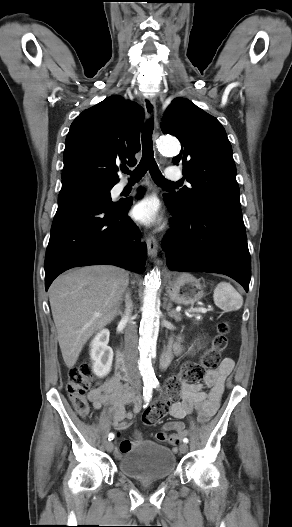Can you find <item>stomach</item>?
<instances>
[{"label": "stomach", "mask_w": 292, "mask_h": 527, "mask_svg": "<svg viewBox=\"0 0 292 527\" xmlns=\"http://www.w3.org/2000/svg\"><path fill=\"white\" fill-rule=\"evenodd\" d=\"M168 294L177 304H193L204 296L203 286L188 273L172 274L168 277Z\"/></svg>", "instance_id": "obj_1"}]
</instances>
